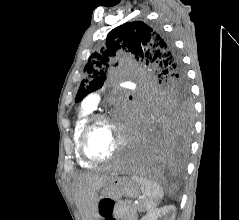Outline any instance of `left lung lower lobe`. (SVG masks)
Segmentation results:
<instances>
[{"label":"left lung lower lobe","mask_w":239,"mask_h":220,"mask_svg":"<svg viewBox=\"0 0 239 220\" xmlns=\"http://www.w3.org/2000/svg\"><path fill=\"white\" fill-rule=\"evenodd\" d=\"M138 140L128 162L143 171L181 165L185 159L191 125L175 114L145 108L137 114Z\"/></svg>","instance_id":"1"}]
</instances>
